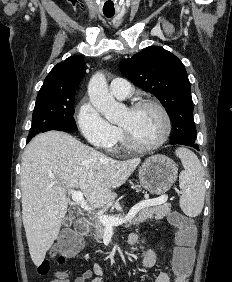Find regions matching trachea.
<instances>
[{
    "instance_id": "trachea-1",
    "label": "trachea",
    "mask_w": 232,
    "mask_h": 282,
    "mask_svg": "<svg viewBox=\"0 0 232 282\" xmlns=\"http://www.w3.org/2000/svg\"><path fill=\"white\" fill-rule=\"evenodd\" d=\"M104 15L108 18L112 17L114 15V13H104Z\"/></svg>"
}]
</instances>
